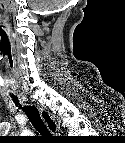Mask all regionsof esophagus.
<instances>
[{"mask_svg":"<svg viewBox=\"0 0 125 143\" xmlns=\"http://www.w3.org/2000/svg\"><path fill=\"white\" fill-rule=\"evenodd\" d=\"M40 116L42 120L45 122L48 130L50 131L51 134L55 135L58 133V125L55 120V117L50 114L49 111L39 108Z\"/></svg>","mask_w":125,"mask_h":143,"instance_id":"34e87169","label":"esophagus"}]
</instances>
